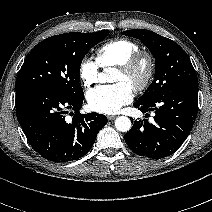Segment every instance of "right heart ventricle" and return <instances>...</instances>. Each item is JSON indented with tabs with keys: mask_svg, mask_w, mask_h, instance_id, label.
<instances>
[{
	"mask_svg": "<svg viewBox=\"0 0 212 212\" xmlns=\"http://www.w3.org/2000/svg\"><path fill=\"white\" fill-rule=\"evenodd\" d=\"M138 51V45L129 39H113L96 50V62L103 68L117 66Z\"/></svg>",
	"mask_w": 212,
	"mask_h": 212,
	"instance_id": "obj_1",
	"label": "right heart ventricle"
}]
</instances>
